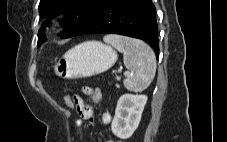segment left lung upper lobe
<instances>
[{
  "label": "left lung upper lobe",
  "mask_w": 227,
  "mask_h": 142,
  "mask_svg": "<svg viewBox=\"0 0 227 142\" xmlns=\"http://www.w3.org/2000/svg\"><path fill=\"white\" fill-rule=\"evenodd\" d=\"M106 2L107 0H40L39 12L41 16L49 17H53L57 13H64V18L61 21H66L67 29L61 36L70 38L87 24ZM48 22V20L44 21L43 27ZM46 40L45 34L39 30L37 46L39 47Z\"/></svg>",
  "instance_id": "5c2ea615"
}]
</instances>
